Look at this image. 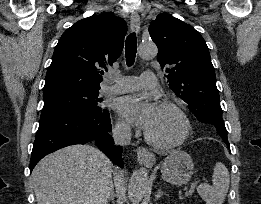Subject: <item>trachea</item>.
I'll use <instances>...</instances> for the list:
<instances>
[{"mask_svg": "<svg viewBox=\"0 0 261 204\" xmlns=\"http://www.w3.org/2000/svg\"><path fill=\"white\" fill-rule=\"evenodd\" d=\"M137 52V39L135 33H131L125 42V57L127 66H132Z\"/></svg>", "mask_w": 261, "mask_h": 204, "instance_id": "obj_1", "label": "trachea"}]
</instances>
